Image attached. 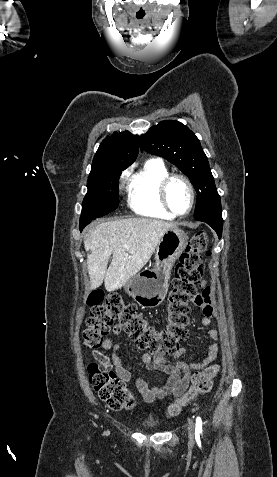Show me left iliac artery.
<instances>
[{"mask_svg":"<svg viewBox=\"0 0 277 477\" xmlns=\"http://www.w3.org/2000/svg\"><path fill=\"white\" fill-rule=\"evenodd\" d=\"M196 433L199 434L202 432V420L200 417H197L196 419V429H195Z\"/></svg>","mask_w":277,"mask_h":477,"instance_id":"1","label":"left iliac artery"}]
</instances>
